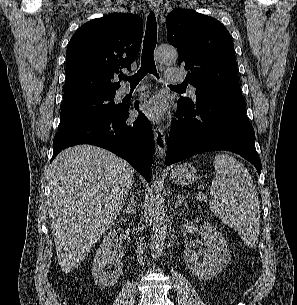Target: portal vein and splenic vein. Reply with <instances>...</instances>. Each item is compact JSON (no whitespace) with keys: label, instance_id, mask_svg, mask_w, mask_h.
<instances>
[{"label":"portal vein and splenic vein","instance_id":"portal-vein-and-splenic-vein-1","mask_svg":"<svg viewBox=\"0 0 297 305\" xmlns=\"http://www.w3.org/2000/svg\"><path fill=\"white\" fill-rule=\"evenodd\" d=\"M197 198L203 201L207 199V196L203 192H199Z\"/></svg>","mask_w":297,"mask_h":305}]
</instances>
